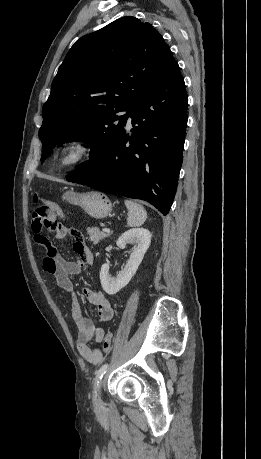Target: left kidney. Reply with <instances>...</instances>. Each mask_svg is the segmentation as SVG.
I'll return each mask as SVG.
<instances>
[{
    "mask_svg": "<svg viewBox=\"0 0 261 459\" xmlns=\"http://www.w3.org/2000/svg\"><path fill=\"white\" fill-rule=\"evenodd\" d=\"M127 243L135 244L125 267L117 274V277L109 275V265L103 264L100 271V281L103 290L114 295L125 287L135 275L144 254L151 243V233L144 228H134L124 232L117 240L119 248H124Z\"/></svg>",
    "mask_w": 261,
    "mask_h": 459,
    "instance_id": "5707ae66",
    "label": "left kidney"
}]
</instances>
